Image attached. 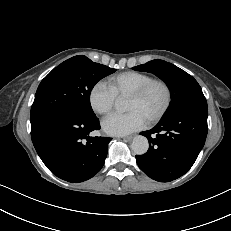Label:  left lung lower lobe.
I'll list each match as a JSON object with an SVG mask.
<instances>
[{"label": "left lung lower lobe", "instance_id": "0a47b994", "mask_svg": "<svg viewBox=\"0 0 231 231\" xmlns=\"http://www.w3.org/2000/svg\"><path fill=\"white\" fill-rule=\"evenodd\" d=\"M207 116L206 99H194L163 117L151 130L141 132L150 146L147 153L136 155L139 168L160 182L184 175L204 146L208 131Z\"/></svg>", "mask_w": 231, "mask_h": 231}]
</instances>
